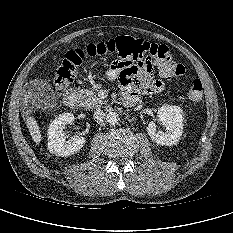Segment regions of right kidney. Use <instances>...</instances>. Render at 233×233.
I'll return each mask as SVG.
<instances>
[{
  "label": "right kidney",
  "mask_w": 233,
  "mask_h": 233,
  "mask_svg": "<svg viewBox=\"0 0 233 233\" xmlns=\"http://www.w3.org/2000/svg\"><path fill=\"white\" fill-rule=\"evenodd\" d=\"M73 121L74 115L72 113L61 114L52 121L47 134L50 153L62 157L70 156L77 153L85 145L86 140L82 136L76 135L71 140H65L64 128Z\"/></svg>",
  "instance_id": "obj_1"
}]
</instances>
